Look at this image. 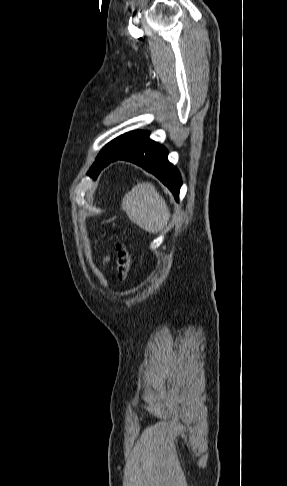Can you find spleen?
Returning a JSON list of instances; mask_svg holds the SVG:
<instances>
[{
    "label": "spleen",
    "instance_id": "1",
    "mask_svg": "<svg viewBox=\"0 0 287 486\" xmlns=\"http://www.w3.org/2000/svg\"><path fill=\"white\" fill-rule=\"evenodd\" d=\"M129 219L143 230L157 234L171 217L167 203L150 182L138 183L122 201Z\"/></svg>",
    "mask_w": 287,
    "mask_h": 486
}]
</instances>
